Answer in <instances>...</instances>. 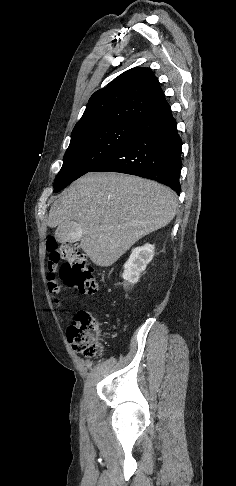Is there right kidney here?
Returning <instances> with one entry per match:
<instances>
[{
	"instance_id": "right-kidney-1",
	"label": "right kidney",
	"mask_w": 236,
	"mask_h": 486,
	"mask_svg": "<svg viewBox=\"0 0 236 486\" xmlns=\"http://www.w3.org/2000/svg\"><path fill=\"white\" fill-rule=\"evenodd\" d=\"M154 245L145 244L132 250L128 261L124 264L123 279L128 284H136L147 264L153 259Z\"/></svg>"
}]
</instances>
